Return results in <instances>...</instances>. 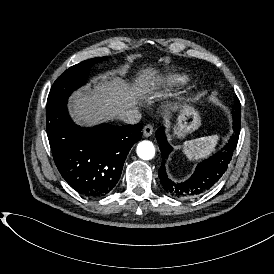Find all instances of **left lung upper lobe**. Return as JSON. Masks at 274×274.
<instances>
[{
	"mask_svg": "<svg viewBox=\"0 0 274 274\" xmlns=\"http://www.w3.org/2000/svg\"><path fill=\"white\" fill-rule=\"evenodd\" d=\"M240 102L237 97H235V104L233 106V110H239Z\"/></svg>",
	"mask_w": 274,
	"mask_h": 274,
	"instance_id": "5c2ea615",
	"label": "left lung upper lobe"
}]
</instances>
